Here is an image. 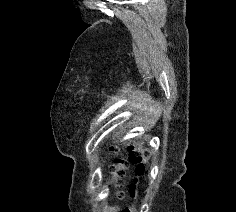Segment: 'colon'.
<instances>
[{"label": "colon", "mask_w": 236, "mask_h": 212, "mask_svg": "<svg viewBox=\"0 0 236 212\" xmlns=\"http://www.w3.org/2000/svg\"><path fill=\"white\" fill-rule=\"evenodd\" d=\"M128 161L129 163L136 166V178L133 184L130 186V194L132 197H135L137 194V182L138 178L145 173L146 162L149 156L148 151L143 146L142 142H135L128 146ZM126 171V160L122 157H117L114 160L110 168V184L118 187L121 184L122 178L125 175ZM117 198H122L123 193L119 190L115 193ZM123 212H136L133 206L127 207Z\"/></svg>", "instance_id": "obj_1"}]
</instances>
